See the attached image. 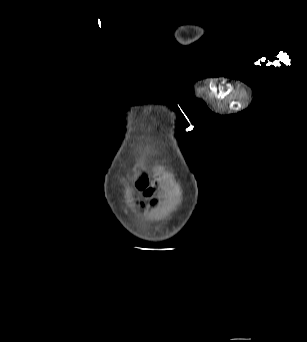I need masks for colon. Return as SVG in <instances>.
<instances>
[{
  "label": "colon",
  "mask_w": 307,
  "mask_h": 342,
  "mask_svg": "<svg viewBox=\"0 0 307 342\" xmlns=\"http://www.w3.org/2000/svg\"><path fill=\"white\" fill-rule=\"evenodd\" d=\"M143 188H144V187H143ZM144 190H145V192H147V193L149 192L146 188H144ZM146 201H147V203H148L149 200H146ZM147 207H148V206H147Z\"/></svg>",
  "instance_id": "colon-1"
}]
</instances>
